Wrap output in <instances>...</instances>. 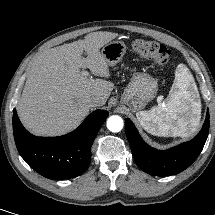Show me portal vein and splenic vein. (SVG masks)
Instances as JSON below:
<instances>
[{
  "instance_id": "1",
  "label": "portal vein and splenic vein",
  "mask_w": 215,
  "mask_h": 215,
  "mask_svg": "<svg viewBox=\"0 0 215 215\" xmlns=\"http://www.w3.org/2000/svg\"><path fill=\"white\" fill-rule=\"evenodd\" d=\"M82 75L85 76V77H87V76L89 75V72L86 71V70H83V71H82Z\"/></svg>"
}]
</instances>
